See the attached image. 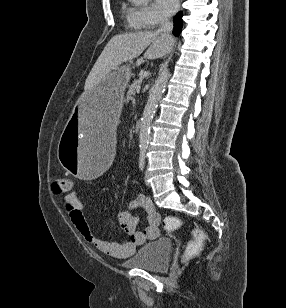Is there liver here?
<instances>
[{"instance_id":"1","label":"liver","mask_w":286,"mask_h":308,"mask_svg":"<svg viewBox=\"0 0 286 308\" xmlns=\"http://www.w3.org/2000/svg\"><path fill=\"white\" fill-rule=\"evenodd\" d=\"M173 45L172 38L157 31H138L112 37L86 79L85 92L106 79L119 65L132 62L145 50L146 59H158L169 53Z\"/></svg>"}]
</instances>
